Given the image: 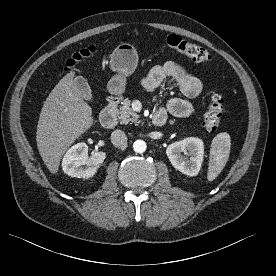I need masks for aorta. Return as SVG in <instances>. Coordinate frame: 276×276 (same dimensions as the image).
<instances>
[{
    "label": "aorta",
    "mask_w": 276,
    "mask_h": 276,
    "mask_svg": "<svg viewBox=\"0 0 276 276\" xmlns=\"http://www.w3.org/2000/svg\"><path fill=\"white\" fill-rule=\"evenodd\" d=\"M147 145L146 142L143 140H136L133 143V149L136 153H143L146 151Z\"/></svg>",
    "instance_id": "1"
}]
</instances>
